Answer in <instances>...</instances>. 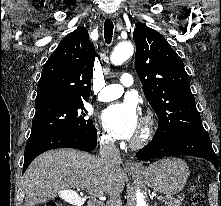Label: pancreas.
Returning a JSON list of instances; mask_svg holds the SVG:
<instances>
[{
	"instance_id": "obj_1",
	"label": "pancreas",
	"mask_w": 221,
	"mask_h": 206,
	"mask_svg": "<svg viewBox=\"0 0 221 206\" xmlns=\"http://www.w3.org/2000/svg\"><path fill=\"white\" fill-rule=\"evenodd\" d=\"M183 200H184V196L178 197V198L167 196L166 201L164 202L167 206H180Z\"/></svg>"
}]
</instances>
